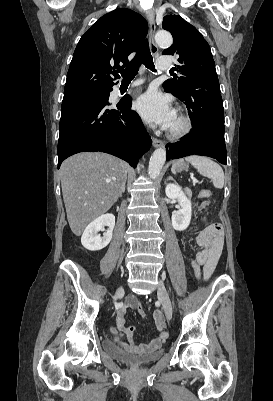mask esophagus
I'll return each instance as SVG.
<instances>
[{"instance_id": "1", "label": "esophagus", "mask_w": 273, "mask_h": 401, "mask_svg": "<svg viewBox=\"0 0 273 401\" xmlns=\"http://www.w3.org/2000/svg\"><path fill=\"white\" fill-rule=\"evenodd\" d=\"M146 17L149 23V46H150V51L153 55H156L158 53V47L155 44L154 41V35H155V30H156V24H155V17L154 13L152 10H147L146 11ZM153 145L155 147H163L164 142L161 140H158L157 138H152Z\"/></svg>"}]
</instances>
